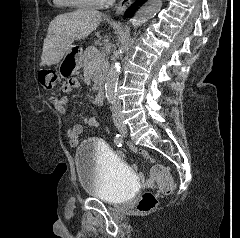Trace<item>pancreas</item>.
Here are the masks:
<instances>
[{
    "mask_svg": "<svg viewBox=\"0 0 240 238\" xmlns=\"http://www.w3.org/2000/svg\"><path fill=\"white\" fill-rule=\"evenodd\" d=\"M99 58L100 62L96 59ZM84 70L91 69V79L94 82L93 90L97 91L104 82V78L108 69V62L97 48L91 46L86 48L83 54Z\"/></svg>",
    "mask_w": 240,
    "mask_h": 238,
    "instance_id": "obj_1",
    "label": "pancreas"
}]
</instances>
